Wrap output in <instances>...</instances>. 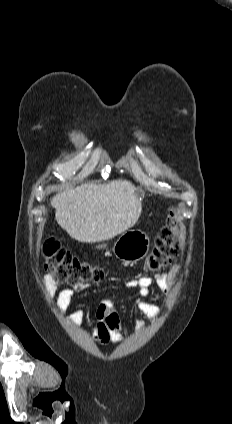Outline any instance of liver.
I'll list each match as a JSON object with an SVG mask.
<instances>
[{
	"instance_id": "1",
	"label": "liver",
	"mask_w": 232,
	"mask_h": 424,
	"mask_svg": "<svg viewBox=\"0 0 232 424\" xmlns=\"http://www.w3.org/2000/svg\"><path fill=\"white\" fill-rule=\"evenodd\" d=\"M141 195L129 181L93 182L62 191L51 199L57 223L75 240H109L131 228L142 211Z\"/></svg>"
}]
</instances>
